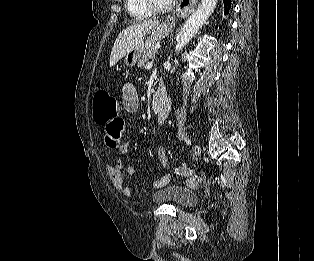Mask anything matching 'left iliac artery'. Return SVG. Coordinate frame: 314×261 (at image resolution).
I'll return each instance as SVG.
<instances>
[{
    "label": "left iliac artery",
    "mask_w": 314,
    "mask_h": 261,
    "mask_svg": "<svg viewBox=\"0 0 314 261\" xmlns=\"http://www.w3.org/2000/svg\"><path fill=\"white\" fill-rule=\"evenodd\" d=\"M185 142H186L187 145H191V140H190L189 138H187V139L185 140Z\"/></svg>",
    "instance_id": "44dca946"
}]
</instances>
